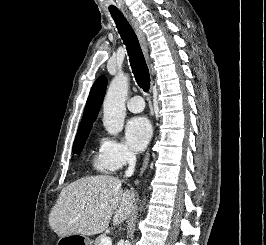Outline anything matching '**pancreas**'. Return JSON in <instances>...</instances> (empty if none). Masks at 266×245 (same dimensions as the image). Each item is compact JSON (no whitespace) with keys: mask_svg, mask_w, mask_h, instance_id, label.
<instances>
[{"mask_svg":"<svg viewBox=\"0 0 266 245\" xmlns=\"http://www.w3.org/2000/svg\"><path fill=\"white\" fill-rule=\"evenodd\" d=\"M102 237H105V235H100V237H97L94 245H100Z\"/></svg>","mask_w":266,"mask_h":245,"instance_id":"pancreas-1","label":"pancreas"}]
</instances>
